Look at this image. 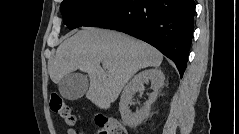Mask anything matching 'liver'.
Masks as SVG:
<instances>
[{
    "label": "liver",
    "instance_id": "obj_1",
    "mask_svg": "<svg viewBox=\"0 0 239 134\" xmlns=\"http://www.w3.org/2000/svg\"><path fill=\"white\" fill-rule=\"evenodd\" d=\"M162 60L157 49L141 40L112 30L84 28L60 44L48 71L56 84L76 70L86 72L90 79L86 98L106 110L137 71L159 67Z\"/></svg>",
    "mask_w": 239,
    "mask_h": 134
}]
</instances>
